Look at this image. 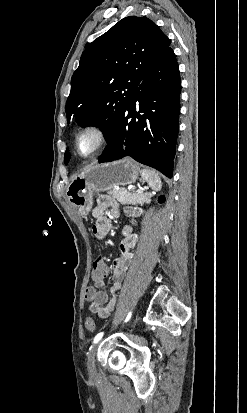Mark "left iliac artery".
Segmentation results:
<instances>
[{"mask_svg": "<svg viewBox=\"0 0 247 413\" xmlns=\"http://www.w3.org/2000/svg\"><path fill=\"white\" fill-rule=\"evenodd\" d=\"M131 315H132V312H129L128 315H127V317H126V319H125V322L129 321V319L131 318ZM103 334H104L103 332L98 333V334L95 336V338H94V340H93V343H94V344L98 343L99 340L102 338Z\"/></svg>", "mask_w": 247, "mask_h": 413, "instance_id": "1", "label": "left iliac artery"}]
</instances>
